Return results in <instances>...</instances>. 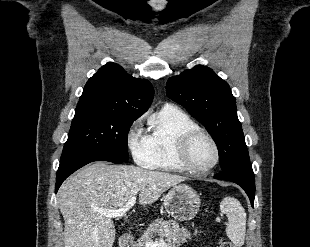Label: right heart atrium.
<instances>
[{
    "mask_svg": "<svg viewBox=\"0 0 310 247\" xmlns=\"http://www.w3.org/2000/svg\"><path fill=\"white\" fill-rule=\"evenodd\" d=\"M142 118H138L133 122L127 131L126 142L134 160L144 166L152 165V157L149 149L148 139L140 131V123Z\"/></svg>",
    "mask_w": 310,
    "mask_h": 247,
    "instance_id": "right-heart-atrium-1",
    "label": "right heart atrium"
}]
</instances>
